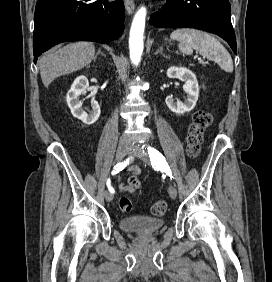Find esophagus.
Wrapping results in <instances>:
<instances>
[{
  "mask_svg": "<svg viewBox=\"0 0 272 282\" xmlns=\"http://www.w3.org/2000/svg\"><path fill=\"white\" fill-rule=\"evenodd\" d=\"M125 9L128 14H132L135 9V3L133 0H124Z\"/></svg>",
  "mask_w": 272,
  "mask_h": 282,
  "instance_id": "obj_1",
  "label": "esophagus"
}]
</instances>
